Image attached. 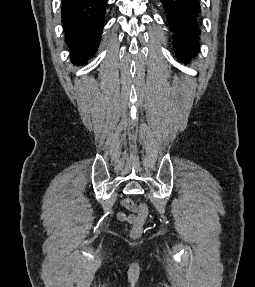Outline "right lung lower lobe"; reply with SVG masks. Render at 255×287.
<instances>
[{
	"label": "right lung lower lobe",
	"instance_id": "obj_1",
	"mask_svg": "<svg viewBox=\"0 0 255 287\" xmlns=\"http://www.w3.org/2000/svg\"><path fill=\"white\" fill-rule=\"evenodd\" d=\"M62 23L72 62L84 65L99 44L106 0H62Z\"/></svg>",
	"mask_w": 255,
	"mask_h": 287
}]
</instances>
